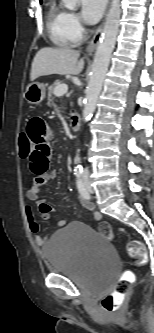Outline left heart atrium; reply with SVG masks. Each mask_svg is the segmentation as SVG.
I'll use <instances>...</instances> for the list:
<instances>
[{
  "label": "left heart atrium",
  "mask_w": 154,
  "mask_h": 333,
  "mask_svg": "<svg viewBox=\"0 0 154 333\" xmlns=\"http://www.w3.org/2000/svg\"><path fill=\"white\" fill-rule=\"evenodd\" d=\"M106 0H81L82 16L87 23L94 24L102 16Z\"/></svg>",
  "instance_id": "1"
}]
</instances>
